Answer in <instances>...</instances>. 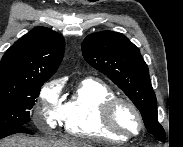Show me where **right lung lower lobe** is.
I'll return each instance as SVG.
<instances>
[{"label": "right lung lower lobe", "instance_id": "98d812e1", "mask_svg": "<svg viewBox=\"0 0 183 147\" xmlns=\"http://www.w3.org/2000/svg\"><path fill=\"white\" fill-rule=\"evenodd\" d=\"M15 133L33 134L30 130L26 128L25 125H22L5 130L4 133L0 134V139Z\"/></svg>", "mask_w": 183, "mask_h": 147}]
</instances>
